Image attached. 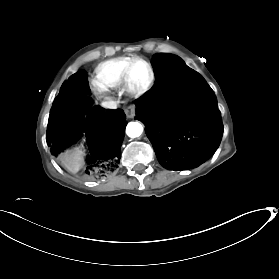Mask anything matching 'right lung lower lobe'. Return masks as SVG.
<instances>
[{"label": "right lung lower lobe", "instance_id": "right-lung-lower-lobe-1", "mask_svg": "<svg viewBox=\"0 0 279 279\" xmlns=\"http://www.w3.org/2000/svg\"><path fill=\"white\" fill-rule=\"evenodd\" d=\"M86 72H77L65 81L59 95L55 98L50 110L46 140L51 153L57 156L73 144L83 132L88 136L89 128L93 129L97 146L89 139L84 163L75 168L77 174L90 178L103 176L113 171L121 157V145L127 124L123 110L110 116L84 119L88 109L98 113L97 106L89 96Z\"/></svg>", "mask_w": 279, "mask_h": 279}]
</instances>
